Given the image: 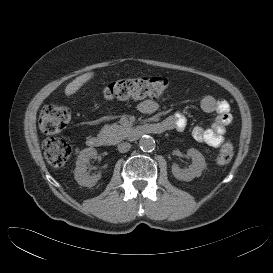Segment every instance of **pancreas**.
Masks as SVG:
<instances>
[{
  "label": "pancreas",
  "instance_id": "pancreas-1",
  "mask_svg": "<svg viewBox=\"0 0 273 273\" xmlns=\"http://www.w3.org/2000/svg\"><path fill=\"white\" fill-rule=\"evenodd\" d=\"M130 131V127H123L121 125L112 124L105 125L101 129L100 134L104 136L110 144H116L126 138Z\"/></svg>",
  "mask_w": 273,
  "mask_h": 273
}]
</instances>
